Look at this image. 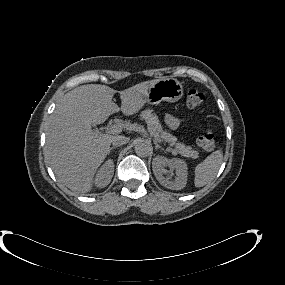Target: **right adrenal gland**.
Here are the masks:
<instances>
[{
	"mask_svg": "<svg viewBox=\"0 0 285 285\" xmlns=\"http://www.w3.org/2000/svg\"><path fill=\"white\" fill-rule=\"evenodd\" d=\"M117 147H118V146H112V147H110L108 154H110V152H111L112 149H115V148H117Z\"/></svg>",
	"mask_w": 285,
	"mask_h": 285,
	"instance_id": "1",
	"label": "right adrenal gland"
}]
</instances>
